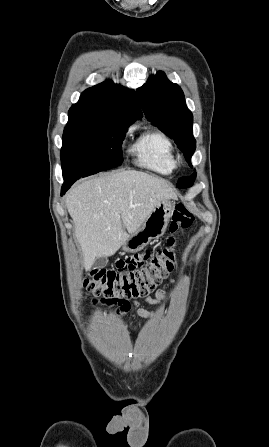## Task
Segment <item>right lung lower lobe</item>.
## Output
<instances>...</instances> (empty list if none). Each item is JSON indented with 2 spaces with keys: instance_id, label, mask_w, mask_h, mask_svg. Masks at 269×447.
<instances>
[{
  "instance_id": "1",
  "label": "right lung lower lobe",
  "mask_w": 269,
  "mask_h": 447,
  "mask_svg": "<svg viewBox=\"0 0 269 447\" xmlns=\"http://www.w3.org/2000/svg\"><path fill=\"white\" fill-rule=\"evenodd\" d=\"M62 170H63L64 184L62 186L61 195H63L69 189V187L80 177H85L100 172L96 170L85 171L84 167L77 165H73L69 168L62 166Z\"/></svg>"
}]
</instances>
